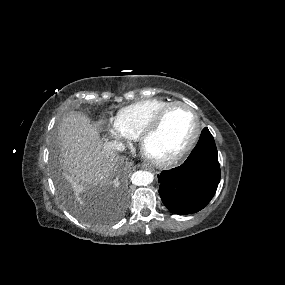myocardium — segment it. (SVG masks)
Returning <instances> with one entry per match:
<instances>
[{"mask_svg":"<svg viewBox=\"0 0 285 285\" xmlns=\"http://www.w3.org/2000/svg\"><path fill=\"white\" fill-rule=\"evenodd\" d=\"M176 107H182L187 109L195 119V130L191 139L178 153L167 159H157L147 155L143 149L146 139L149 136H151L161 126L165 117L169 114L171 110H173ZM201 132H202V121L200 119L198 112L187 103L173 102L169 104L167 107H165L163 110H161L141 131L139 135L140 148L143 155L154 165L158 167H170L180 162L184 157H186L191 152V150L197 144L201 136Z\"/></svg>","mask_w":285,"mask_h":285,"instance_id":"1","label":"myocardium"}]
</instances>
